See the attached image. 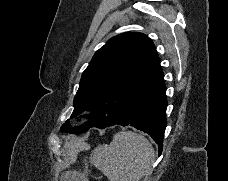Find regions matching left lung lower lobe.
<instances>
[{
	"label": "left lung lower lobe",
	"instance_id": "left-lung-lower-lobe-1",
	"mask_svg": "<svg viewBox=\"0 0 228 181\" xmlns=\"http://www.w3.org/2000/svg\"><path fill=\"white\" fill-rule=\"evenodd\" d=\"M166 108V87L159 60L140 80L122 118L113 125H130L148 133L158 144L160 155L167 125Z\"/></svg>",
	"mask_w": 228,
	"mask_h": 181
}]
</instances>
